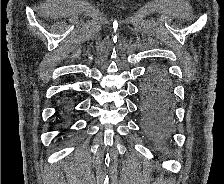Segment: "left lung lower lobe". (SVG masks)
<instances>
[{"mask_svg":"<svg viewBox=\"0 0 224 184\" xmlns=\"http://www.w3.org/2000/svg\"><path fill=\"white\" fill-rule=\"evenodd\" d=\"M141 112L145 132L165 141L173 129V92L171 80L161 66L153 67L141 86Z\"/></svg>","mask_w":224,"mask_h":184,"instance_id":"1","label":"left lung lower lobe"}]
</instances>
